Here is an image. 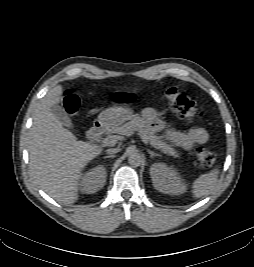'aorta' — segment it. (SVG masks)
Wrapping results in <instances>:
<instances>
[{
    "label": "aorta",
    "instance_id": "obj_1",
    "mask_svg": "<svg viewBox=\"0 0 254 267\" xmlns=\"http://www.w3.org/2000/svg\"><path fill=\"white\" fill-rule=\"evenodd\" d=\"M143 158L141 154L136 149H129L128 163L133 167H138L141 165Z\"/></svg>",
    "mask_w": 254,
    "mask_h": 267
}]
</instances>
